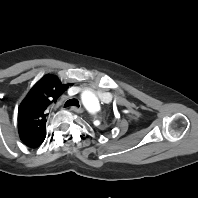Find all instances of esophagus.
Masks as SVG:
<instances>
[{"mask_svg":"<svg viewBox=\"0 0 198 198\" xmlns=\"http://www.w3.org/2000/svg\"><path fill=\"white\" fill-rule=\"evenodd\" d=\"M70 110H72V111H74V112H76V113H82L83 111H84V109H83V107H77V106H72L71 108H70Z\"/></svg>","mask_w":198,"mask_h":198,"instance_id":"34e87169","label":"esophagus"}]
</instances>
